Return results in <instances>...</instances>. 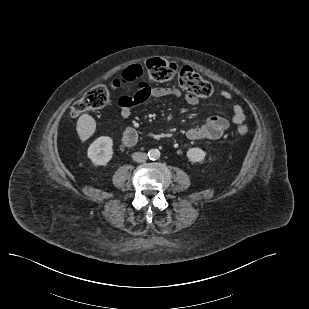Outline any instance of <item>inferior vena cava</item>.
Instances as JSON below:
<instances>
[{"mask_svg":"<svg viewBox=\"0 0 309 309\" xmlns=\"http://www.w3.org/2000/svg\"><path fill=\"white\" fill-rule=\"evenodd\" d=\"M132 159L135 162L142 163V162H145L147 160V154L143 153V152H135L132 155Z\"/></svg>","mask_w":309,"mask_h":309,"instance_id":"obj_1","label":"inferior vena cava"}]
</instances>
